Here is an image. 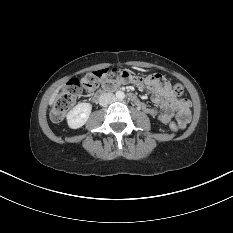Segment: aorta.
Instances as JSON below:
<instances>
[{
	"label": "aorta",
	"instance_id": "obj_1",
	"mask_svg": "<svg viewBox=\"0 0 233 233\" xmlns=\"http://www.w3.org/2000/svg\"><path fill=\"white\" fill-rule=\"evenodd\" d=\"M116 98L119 99V100H122L125 98V93L122 92V91H117L116 92Z\"/></svg>",
	"mask_w": 233,
	"mask_h": 233
}]
</instances>
